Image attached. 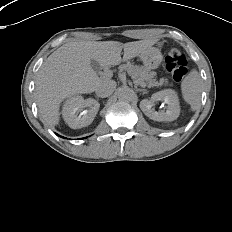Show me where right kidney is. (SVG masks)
<instances>
[{"label":"right kidney","instance_id":"ca27d5eb","mask_svg":"<svg viewBox=\"0 0 232 232\" xmlns=\"http://www.w3.org/2000/svg\"><path fill=\"white\" fill-rule=\"evenodd\" d=\"M99 107L95 99L84 100L82 96H74L64 102L62 116L70 128L80 129L93 122Z\"/></svg>","mask_w":232,"mask_h":232}]
</instances>
